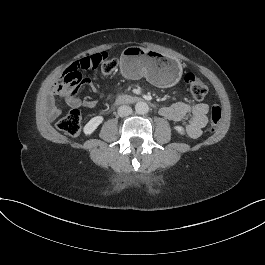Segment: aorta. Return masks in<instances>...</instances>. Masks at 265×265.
<instances>
[{
	"label": "aorta",
	"mask_w": 265,
	"mask_h": 265,
	"mask_svg": "<svg viewBox=\"0 0 265 265\" xmlns=\"http://www.w3.org/2000/svg\"><path fill=\"white\" fill-rule=\"evenodd\" d=\"M135 111L140 115L147 114L149 111V106L145 102H138L135 105Z\"/></svg>",
	"instance_id": "obj_1"
}]
</instances>
